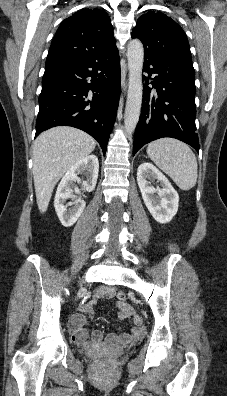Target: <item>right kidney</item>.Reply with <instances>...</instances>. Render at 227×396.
<instances>
[{
	"label": "right kidney",
	"instance_id": "right-kidney-1",
	"mask_svg": "<svg viewBox=\"0 0 227 396\" xmlns=\"http://www.w3.org/2000/svg\"><path fill=\"white\" fill-rule=\"evenodd\" d=\"M98 172L99 162L97 156L89 155L75 163L63 176L54 200L55 211L63 226H72L78 220L86 205L81 198H76L74 202L66 203V200L75 198L73 195L74 191L79 193L75 186V183L80 181L79 175L83 174L86 176V180L82 182L83 189L91 192L95 189Z\"/></svg>",
	"mask_w": 227,
	"mask_h": 396
}]
</instances>
